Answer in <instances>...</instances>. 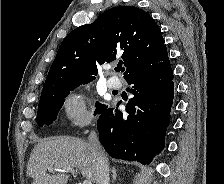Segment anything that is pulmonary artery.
<instances>
[{"label":"pulmonary artery","mask_w":224,"mask_h":184,"mask_svg":"<svg viewBox=\"0 0 224 184\" xmlns=\"http://www.w3.org/2000/svg\"><path fill=\"white\" fill-rule=\"evenodd\" d=\"M107 86L110 89H118L121 87V82L117 77H109L107 79Z\"/></svg>","instance_id":"pulmonary-artery-1"}]
</instances>
